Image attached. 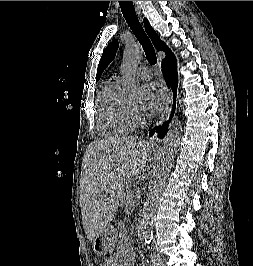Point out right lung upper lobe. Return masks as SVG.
<instances>
[{"instance_id":"obj_1","label":"right lung upper lobe","mask_w":253,"mask_h":266,"mask_svg":"<svg viewBox=\"0 0 253 266\" xmlns=\"http://www.w3.org/2000/svg\"><path fill=\"white\" fill-rule=\"evenodd\" d=\"M144 26H145V30H146L147 34L149 35V37L151 38V40L153 42L155 48L157 50H163L165 52V54H166L165 59L170 57L171 55H173V53L167 47V45L163 41H161V39L158 37V35L154 31V29L151 27V25L147 21V19H144Z\"/></svg>"}]
</instances>
